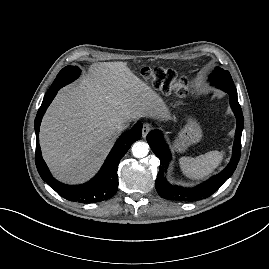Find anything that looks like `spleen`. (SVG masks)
<instances>
[{"instance_id": "obj_1", "label": "spleen", "mask_w": 269, "mask_h": 269, "mask_svg": "<svg viewBox=\"0 0 269 269\" xmlns=\"http://www.w3.org/2000/svg\"><path fill=\"white\" fill-rule=\"evenodd\" d=\"M223 157V151L214 150L195 158L182 157L179 159V165L186 177L192 180H200L212 174L221 164Z\"/></svg>"}]
</instances>
